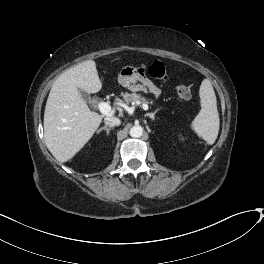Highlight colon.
Segmentation results:
<instances>
[{
    "mask_svg": "<svg viewBox=\"0 0 264 264\" xmlns=\"http://www.w3.org/2000/svg\"><path fill=\"white\" fill-rule=\"evenodd\" d=\"M149 74L153 78L164 80L168 77V70L163 62L156 60L149 67ZM177 94L182 100H190L192 89L188 85L181 84L177 87Z\"/></svg>",
    "mask_w": 264,
    "mask_h": 264,
    "instance_id": "colon-1",
    "label": "colon"
}]
</instances>
